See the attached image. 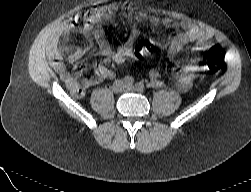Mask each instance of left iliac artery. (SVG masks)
Segmentation results:
<instances>
[{"mask_svg":"<svg viewBox=\"0 0 251 192\" xmlns=\"http://www.w3.org/2000/svg\"><path fill=\"white\" fill-rule=\"evenodd\" d=\"M135 88H136L137 91L141 92V91L144 90L145 86H144V84L142 82H138V83L135 84Z\"/></svg>","mask_w":251,"mask_h":192,"instance_id":"44dca946","label":"left iliac artery"}]
</instances>
